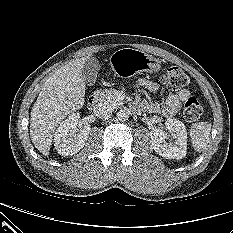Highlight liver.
Instances as JSON below:
<instances>
[{
  "instance_id": "6515ba94",
  "label": "liver",
  "mask_w": 233,
  "mask_h": 233,
  "mask_svg": "<svg viewBox=\"0 0 233 233\" xmlns=\"http://www.w3.org/2000/svg\"><path fill=\"white\" fill-rule=\"evenodd\" d=\"M90 55L57 69L44 83L31 111L30 135L35 147L49 155L58 124L84 105L82 69Z\"/></svg>"
}]
</instances>
